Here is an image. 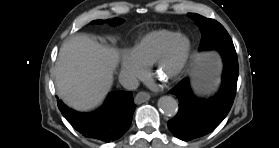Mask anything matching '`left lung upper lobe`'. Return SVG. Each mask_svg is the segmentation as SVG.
I'll return each mask as SVG.
<instances>
[{
  "label": "left lung upper lobe",
  "mask_w": 279,
  "mask_h": 148,
  "mask_svg": "<svg viewBox=\"0 0 279 148\" xmlns=\"http://www.w3.org/2000/svg\"><path fill=\"white\" fill-rule=\"evenodd\" d=\"M188 16L195 21L201 30L200 50L219 49L233 45L229 34L217 21L194 13H189Z\"/></svg>",
  "instance_id": "5c2ea615"
}]
</instances>
